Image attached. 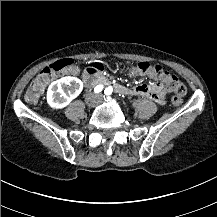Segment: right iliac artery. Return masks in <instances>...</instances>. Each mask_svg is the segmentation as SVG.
<instances>
[{
	"instance_id": "obj_1",
	"label": "right iliac artery",
	"mask_w": 217,
	"mask_h": 217,
	"mask_svg": "<svg viewBox=\"0 0 217 217\" xmlns=\"http://www.w3.org/2000/svg\"><path fill=\"white\" fill-rule=\"evenodd\" d=\"M102 89H103V86H102V85H98V86H96V87L94 88V92H95V93H99V92L102 91Z\"/></svg>"
}]
</instances>
